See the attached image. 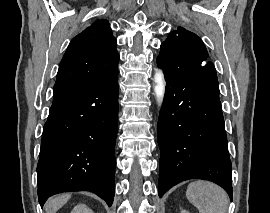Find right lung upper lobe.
I'll return each mask as SVG.
<instances>
[{"label":"right lung upper lobe","instance_id":"right-lung-upper-lobe-1","mask_svg":"<svg viewBox=\"0 0 270 213\" xmlns=\"http://www.w3.org/2000/svg\"><path fill=\"white\" fill-rule=\"evenodd\" d=\"M120 57L107 20H96L69 44L57 73L53 94L87 87L118 73Z\"/></svg>","mask_w":270,"mask_h":213}]
</instances>
